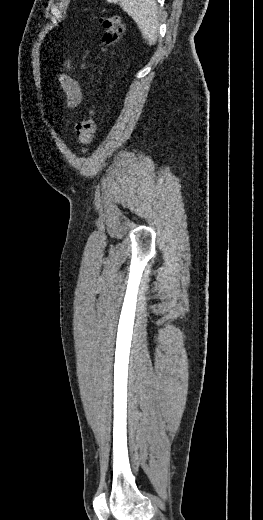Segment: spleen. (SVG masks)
Masks as SVG:
<instances>
[{
  "instance_id": "obj_1",
  "label": "spleen",
  "mask_w": 263,
  "mask_h": 520,
  "mask_svg": "<svg viewBox=\"0 0 263 520\" xmlns=\"http://www.w3.org/2000/svg\"><path fill=\"white\" fill-rule=\"evenodd\" d=\"M110 3H119L137 24L142 36L149 45H155L159 28V11L155 0H107Z\"/></svg>"
}]
</instances>
